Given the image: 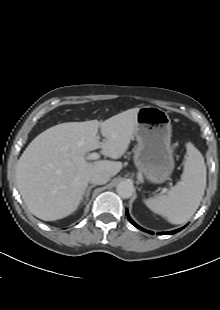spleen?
Returning <instances> with one entry per match:
<instances>
[{
  "mask_svg": "<svg viewBox=\"0 0 220 310\" xmlns=\"http://www.w3.org/2000/svg\"><path fill=\"white\" fill-rule=\"evenodd\" d=\"M206 188V166L200 151L187 144V157L179 181L166 195L145 200L146 206L171 224L188 221L198 209Z\"/></svg>",
  "mask_w": 220,
  "mask_h": 310,
  "instance_id": "3e777b00",
  "label": "spleen"
}]
</instances>
